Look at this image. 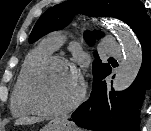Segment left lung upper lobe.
Wrapping results in <instances>:
<instances>
[{
    "instance_id": "5c2ea615",
    "label": "left lung upper lobe",
    "mask_w": 151,
    "mask_h": 131,
    "mask_svg": "<svg viewBox=\"0 0 151 131\" xmlns=\"http://www.w3.org/2000/svg\"><path fill=\"white\" fill-rule=\"evenodd\" d=\"M142 6L143 4L139 0H68L49 8L38 19L29 36V42L33 43L51 31L64 28L77 13L93 17H115L131 26ZM103 35L100 31L84 33L85 39L90 45ZM94 56L97 59L93 62V81L110 66L101 62L97 52H94Z\"/></svg>"
}]
</instances>
